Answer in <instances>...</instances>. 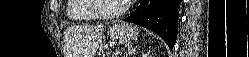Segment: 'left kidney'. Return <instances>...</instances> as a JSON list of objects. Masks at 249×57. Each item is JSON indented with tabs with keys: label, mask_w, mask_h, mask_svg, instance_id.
Returning a JSON list of instances; mask_svg holds the SVG:
<instances>
[{
	"label": "left kidney",
	"mask_w": 249,
	"mask_h": 57,
	"mask_svg": "<svg viewBox=\"0 0 249 57\" xmlns=\"http://www.w3.org/2000/svg\"><path fill=\"white\" fill-rule=\"evenodd\" d=\"M142 57H149V53L143 54Z\"/></svg>",
	"instance_id": "5707ae66"
}]
</instances>
